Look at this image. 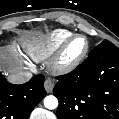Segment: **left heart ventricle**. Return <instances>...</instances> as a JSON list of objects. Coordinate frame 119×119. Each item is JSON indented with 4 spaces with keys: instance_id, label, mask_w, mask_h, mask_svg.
<instances>
[{
    "instance_id": "b2bd125f",
    "label": "left heart ventricle",
    "mask_w": 119,
    "mask_h": 119,
    "mask_svg": "<svg viewBox=\"0 0 119 119\" xmlns=\"http://www.w3.org/2000/svg\"><path fill=\"white\" fill-rule=\"evenodd\" d=\"M85 47V41L82 38L74 39L67 47L64 58L68 61L75 59L79 56Z\"/></svg>"
}]
</instances>
